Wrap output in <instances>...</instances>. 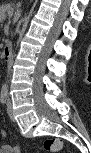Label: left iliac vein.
Returning a JSON list of instances; mask_svg holds the SVG:
<instances>
[{"label": "left iliac vein", "mask_w": 91, "mask_h": 153, "mask_svg": "<svg viewBox=\"0 0 91 153\" xmlns=\"http://www.w3.org/2000/svg\"><path fill=\"white\" fill-rule=\"evenodd\" d=\"M7 113H8V116L10 117V119H11L12 121H14L12 103H11V99H10L9 97H8V99H7Z\"/></svg>", "instance_id": "4c4485c4"}]
</instances>
